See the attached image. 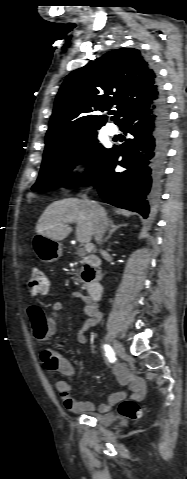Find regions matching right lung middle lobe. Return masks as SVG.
<instances>
[{"label": "right lung middle lobe", "instance_id": "right-lung-middle-lobe-1", "mask_svg": "<svg viewBox=\"0 0 187 479\" xmlns=\"http://www.w3.org/2000/svg\"><path fill=\"white\" fill-rule=\"evenodd\" d=\"M97 132L84 135L80 139L45 150L41 171L34 191H46L57 186L75 188L99 166L103 164L110 149H105L97 140ZM87 163L88 170L81 175H73L71 169L77 163Z\"/></svg>", "mask_w": 187, "mask_h": 479}]
</instances>
